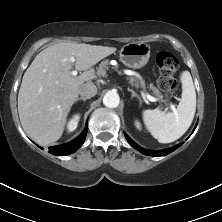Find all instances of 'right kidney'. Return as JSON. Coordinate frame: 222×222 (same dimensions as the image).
<instances>
[{
	"instance_id": "obj_1",
	"label": "right kidney",
	"mask_w": 222,
	"mask_h": 222,
	"mask_svg": "<svg viewBox=\"0 0 222 222\" xmlns=\"http://www.w3.org/2000/svg\"><path fill=\"white\" fill-rule=\"evenodd\" d=\"M79 119H80V115L77 114V115H74L72 119L68 122L67 129L69 132H73L77 128Z\"/></svg>"
}]
</instances>
